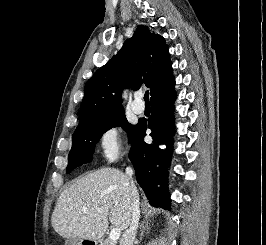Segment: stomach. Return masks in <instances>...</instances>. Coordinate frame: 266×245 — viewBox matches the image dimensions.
I'll return each mask as SVG.
<instances>
[{
	"instance_id": "stomach-1",
	"label": "stomach",
	"mask_w": 266,
	"mask_h": 245,
	"mask_svg": "<svg viewBox=\"0 0 266 245\" xmlns=\"http://www.w3.org/2000/svg\"><path fill=\"white\" fill-rule=\"evenodd\" d=\"M73 245H84V241H75ZM93 245H96V241H94Z\"/></svg>"
}]
</instances>
